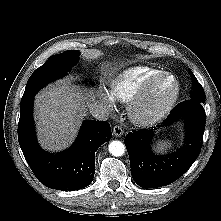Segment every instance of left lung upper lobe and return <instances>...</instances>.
Returning <instances> with one entry per match:
<instances>
[{
	"label": "left lung upper lobe",
	"instance_id": "obj_1",
	"mask_svg": "<svg viewBox=\"0 0 221 221\" xmlns=\"http://www.w3.org/2000/svg\"><path fill=\"white\" fill-rule=\"evenodd\" d=\"M191 78L193 80V88H192L193 91L191 92L190 101H195V102L203 104L205 102L204 90L202 86L200 85V83H198V80L196 79V77L194 76L192 72H191Z\"/></svg>",
	"mask_w": 221,
	"mask_h": 221
}]
</instances>
